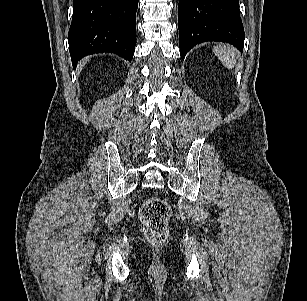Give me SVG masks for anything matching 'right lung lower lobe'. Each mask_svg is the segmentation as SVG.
<instances>
[{
    "label": "right lung lower lobe",
    "mask_w": 307,
    "mask_h": 301,
    "mask_svg": "<svg viewBox=\"0 0 307 301\" xmlns=\"http://www.w3.org/2000/svg\"><path fill=\"white\" fill-rule=\"evenodd\" d=\"M138 0H73L68 42L73 67L84 56L113 52L131 61Z\"/></svg>",
    "instance_id": "1"
}]
</instances>
